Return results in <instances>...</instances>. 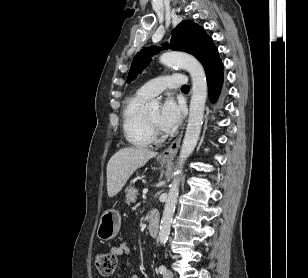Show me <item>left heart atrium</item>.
Wrapping results in <instances>:
<instances>
[{
  "mask_svg": "<svg viewBox=\"0 0 308 278\" xmlns=\"http://www.w3.org/2000/svg\"><path fill=\"white\" fill-rule=\"evenodd\" d=\"M183 117V109L172 98H168L160 110L157 125L166 132H174L180 125Z\"/></svg>",
  "mask_w": 308,
  "mask_h": 278,
  "instance_id": "obj_1",
  "label": "left heart atrium"
}]
</instances>
